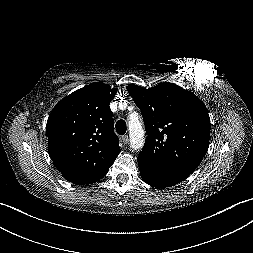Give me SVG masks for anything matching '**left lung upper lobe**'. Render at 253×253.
I'll return each instance as SVG.
<instances>
[{"mask_svg":"<svg viewBox=\"0 0 253 253\" xmlns=\"http://www.w3.org/2000/svg\"><path fill=\"white\" fill-rule=\"evenodd\" d=\"M141 110L147 138L139 155L155 166L193 173L209 147L210 118L192 92L163 82L146 89L127 86Z\"/></svg>","mask_w":253,"mask_h":253,"instance_id":"left-lung-upper-lobe-1","label":"left lung upper lobe"}]
</instances>
